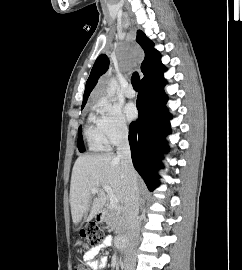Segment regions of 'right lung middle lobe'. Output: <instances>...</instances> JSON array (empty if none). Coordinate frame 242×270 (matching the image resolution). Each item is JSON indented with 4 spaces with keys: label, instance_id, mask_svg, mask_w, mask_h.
I'll use <instances>...</instances> for the list:
<instances>
[{
    "label": "right lung middle lobe",
    "instance_id": "obj_1",
    "mask_svg": "<svg viewBox=\"0 0 242 270\" xmlns=\"http://www.w3.org/2000/svg\"><path fill=\"white\" fill-rule=\"evenodd\" d=\"M78 149H79L80 152H84L85 151V147L83 145V140H82L81 126L79 127V132H78Z\"/></svg>",
    "mask_w": 242,
    "mask_h": 270
}]
</instances>
